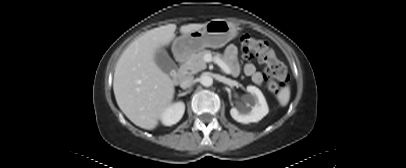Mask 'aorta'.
I'll return each mask as SVG.
<instances>
[{
	"mask_svg": "<svg viewBox=\"0 0 406 168\" xmlns=\"http://www.w3.org/2000/svg\"><path fill=\"white\" fill-rule=\"evenodd\" d=\"M200 83L205 87H209L213 84V79L208 75H202L200 77Z\"/></svg>",
	"mask_w": 406,
	"mask_h": 168,
	"instance_id": "762f6f07",
	"label": "aorta"
}]
</instances>
